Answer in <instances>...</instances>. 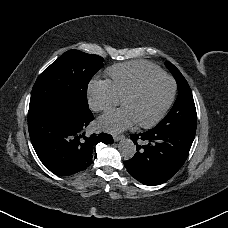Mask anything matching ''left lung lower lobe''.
<instances>
[{"mask_svg": "<svg viewBox=\"0 0 228 228\" xmlns=\"http://www.w3.org/2000/svg\"><path fill=\"white\" fill-rule=\"evenodd\" d=\"M194 130L154 127L131 134L137 152L124 161L129 174L144 185H159L169 180L184 164L195 137Z\"/></svg>", "mask_w": 228, "mask_h": 228, "instance_id": "0a47b994", "label": "left lung lower lobe"}]
</instances>
